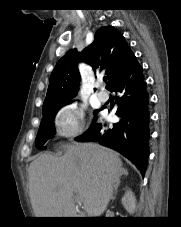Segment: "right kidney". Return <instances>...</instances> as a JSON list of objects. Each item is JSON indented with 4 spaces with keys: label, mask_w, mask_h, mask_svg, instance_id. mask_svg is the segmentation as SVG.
<instances>
[{
    "label": "right kidney",
    "mask_w": 181,
    "mask_h": 227,
    "mask_svg": "<svg viewBox=\"0 0 181 227\" xmlns=\"http://www.w3.org/2000/svg\"><path fill=\"white\" fill-rule=\"evenodd\" d=\"M122 205L130 214H133L135 212L136 198L131 190H126L124 196L122 197Z\"/></svg>",
    "instance_id": "1"
}]
</instances>
